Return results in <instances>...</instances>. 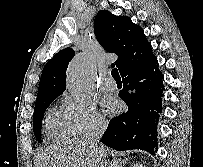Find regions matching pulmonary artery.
Masks as SVG:
<instances>
[{"mask_svg":"<svg viewBox=\"0 0 203 167\" xmlns=\"http://www.w3.org/2000/svg\"><path fill=\"white\" fill-rule=\"evenodd\" d=\"M101 88L105 91H114L116 89V82L110 76H107L102 81Z\"/></svg>","mask_w":203,"mask_h":167,"instance_id":"1","label":"pulmonary artery"}]
</instances>
